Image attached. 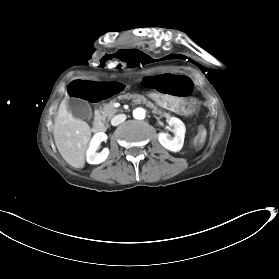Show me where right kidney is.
Wrapping results in <instances>:
<instances>
[{
	"label": "right kidney",
	"instance_id": "1",
	"mask_svg": "<svg viewBox=\"0 0 279 279\" xmlns=\"http://www.w3.org/2000/svg\"><path fill=\"white\" fill-rule=\"evenodd\" d=\"M105 140H107V135L103 132H98L93 136L86 155L87 162L89 164H99L106 160L109 154L108 148H104L99 153L96 152L100 146V143Z\"/></svg>",
	"mask_w": 279,
	"mask_h": 279
}]
</instances>
